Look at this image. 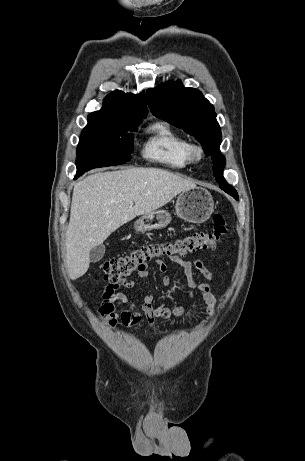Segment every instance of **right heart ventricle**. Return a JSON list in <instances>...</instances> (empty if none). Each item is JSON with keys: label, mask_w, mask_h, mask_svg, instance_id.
I'll list each match as a JSON object with an SVG mask.
<instances>
[{"label": "right heart ventricle", "mask_w": 305, "mask_h": 461, "mask_svg": "<svg viewBox=\"0 0 305 461\" xmlns=\"http://www.w3.org/2000/svg\"><path fill=\"white\" fill-rule=\"evenodd\" d=\"M143 154L173 169H181L192 162L190 141L169 125L158 122L151 126Z\"/></svg>", "instance_id": "1"}]
</instances>
